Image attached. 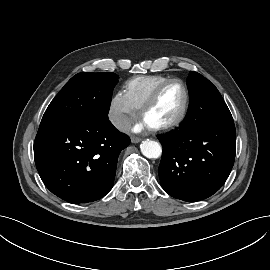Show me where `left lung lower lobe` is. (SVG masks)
<instances>
[{
    "label": "left lung lower lobe",
    "mask_w": 270,
    "mask_h": 270,
    "mask_svg": "<svg viewBox=\"0 0 270 270\" xmlns=\"http://www.w3.org/2000/svg\"><path fill=\"white\" fill-rule=\"evenodd\" d=\"M163 152L158 168L162 188L184 201H199L217 192L234 164L233 123H198L189 106L180 127L158 137Z\"/></svg>",
    "instance_id": "1"
}]
</instances>
